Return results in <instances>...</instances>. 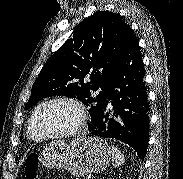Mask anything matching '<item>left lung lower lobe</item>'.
Here are the masks:
<instances>
[{
    "label": "left lung lower lobe",
    "mask_w": 183,
    "mask_h": 179,
    "mask_svg": "<svg viewBox=\"0 0 183 179\" xmlns=\"http://www.w3.org/2000/svg\"><path fill=\"white\" fill-rule=\"evenodd\" d=\"M144 77L138 40L130 30L108 86L107 99L112 100L113 117L109 116L107 100L96 120L88 127V136L122 141L142 159L147 153L150 127Z\"/></svg>",
    "instance_id": "obj_1"
}]
</instances>
